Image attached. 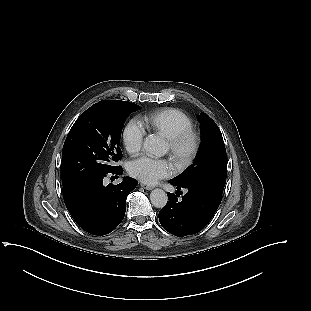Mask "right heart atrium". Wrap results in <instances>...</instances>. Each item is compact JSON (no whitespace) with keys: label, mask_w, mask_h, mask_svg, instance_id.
<instances>
[{"label":"right heart atrium","mask_w":311,"mask_h":311,"mask_svg":"<svg viewBox=\"0 0 311 311\" xmlns=\"http://www.w3.org/2000/svg\"><path fill=\"white\" fill-rule=\"evenodd\" d=\"M144 136L145 130L136 120H130L126 124L123 139L129 153L137 154L141 150Z\"/></svg>","instance_id":"obj_1"}]
</instances>
